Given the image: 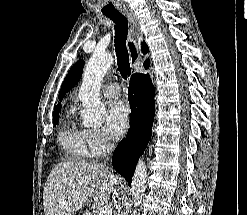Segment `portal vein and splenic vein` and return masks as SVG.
Instances as JSON below:
<instances>
[{"label": "portal vein and splenic vein", "instance_id": "1", "mask_svg": "<svg viewBox=\"0 0 247 215\" xmlns=\"http://www.w3.org/2000/svg\"><path fill=\"white\" fill-rule=\"evenodd\" d=\"M98 213L99 215H112V209L109 206H101Z\"/></svg>", "mask_w": 247, "mask_h": 215}]
</instances>
